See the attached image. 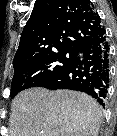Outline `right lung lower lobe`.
<instances>
[{
  "label": "right lung lower lobe",
  "mask_w": 117,
  "mask_h": 136,
  "mask_svg": "<svg viewBox=\"0 0 117 136\" xmlns=\"http://www.w3.org/2000/svg\"><path fill=\"white\" fill-rule=\"evenodd\" d=\"M78 54H82L83 59ZM109 74V45L106 31L102 27L75 52L73 60L65 68L38 87L85 92L104 106L109 88Z\"/></svg>",
  "instance_id": "obj_1"
}]
</instances>
